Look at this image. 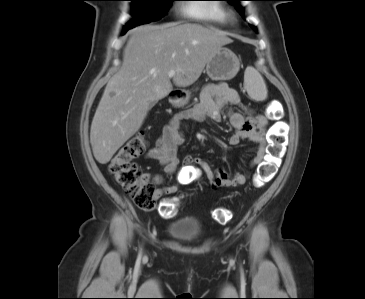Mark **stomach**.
Instances as JSON below:
<instances>
[{"label": "stomach", "mask_w": 365, "mask_h": 299, "mask_svg": "<svg viewBox=\"0 0 365 299\" xmlns=\"http://www.w3.org/2000/svg\"><path fill=\"white\" fill-rule=\"evenodd\" d=\"M240 69V60L230 49L219 48L206 65V72L212 80H230L236 76ZM190 94L182 93L180 96L170 98V102L181 107L188 103Z\"/></svg>", "instance_id": "0dacf381"}]
</instances>
